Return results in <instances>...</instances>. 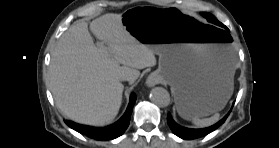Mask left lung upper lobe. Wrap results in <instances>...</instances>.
I'll list each match as a JSON object with an SVG mask.
<instances>
[{
  "label": "left lung upper lobe",
  "instance_id": "obj_1",
  "mask_svg": "<svg viewBox=\"0 0 279 148\" xmlns=\"http://www.w3.org/2000/svg\"><path fill=\"white\" fill-rule=\"evenodd\" d=\"M209 22L214 23L215 25L224 27L222 23H220L212 14L203 12L201 13Z\"/></svg>",
  "mask_w": 279,
  "mask_h": 148
}]
</instances>
